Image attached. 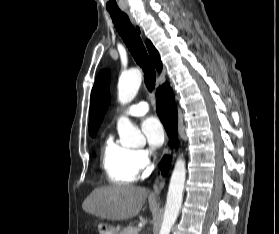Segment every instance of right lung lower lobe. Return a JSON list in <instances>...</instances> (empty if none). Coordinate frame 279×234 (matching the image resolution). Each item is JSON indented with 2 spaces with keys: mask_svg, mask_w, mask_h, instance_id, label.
<instances>
[{
  "mask_svg": "<svg viewBox=\"0 0 279 234\" xmlns=\"http://www.w3.org/2000/svg\"><path fill=\"white\" fill-rule=\"evenodd\" d=\"M156 109L171 142L177 137V107L174 103V95L168 83H165L157 89L156 92ZM169 165V157H164L159 167L162 172L166 173V167Z\"/></svg>",
  "mask_w": 279,
  "mask_h": 234,
  "instance_id": "98d812e1",
  "label": "right lung lower lobe"
}]
</instances>
